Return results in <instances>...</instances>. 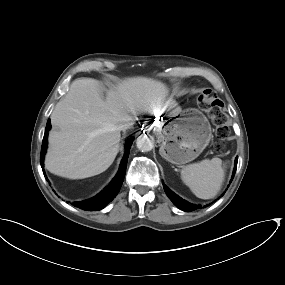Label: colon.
Returning <instances> with one entry per match:
<instances>
[{
    "label": "colon",
    "instance_id": "colon-1",
    "mask_svg": "<svg viewBox=\"0 0 285 285\" xmlns=\"http://www.w3.org/2000/svg\"><path fill=\"white\" fill-rule=\"evenodd\" d=\"M200 106L208 113L211 122L216 128L219 140L215 143L214 148L217 152H221L224 146L223 139L225 136L224 128L226 115L223 112V103L221 100L213 97L212 91L203 90L199 95Z\"/></svg>",
    "mask_w": 285,
    "mask_h": 285
}]
</instances>
